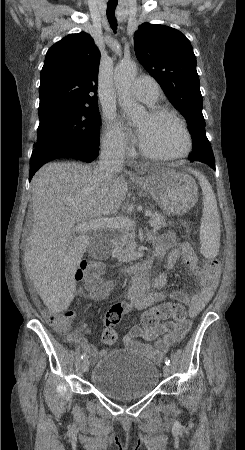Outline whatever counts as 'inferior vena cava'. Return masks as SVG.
I'll use <instances>...</instances> for the list:
<instances>
[{
	"label": "inferior vena cava",
	"mask_w": 245,
	"mask_h": 450,
	"mask_svg": "<svg viewBox=\"0 0 245 450\" xmlns=\"http://www.w3.org/2000/svg\"><path fill=\"white\" fill-rule=\"evenodd\" d=\"M125 149L121 143H110L102 147L99 166L95 173L103 181L109 182L122 170Z\"/></svg>",
	"instance_id": "inferior-vena-cava-1"
}]
</instances>
